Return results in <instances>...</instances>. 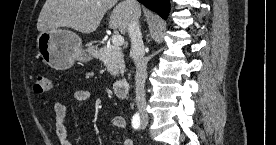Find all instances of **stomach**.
I'll return each instance as SVG.
<instances>
[{
    "label": "stomach",
    "instance_id": "stomach-1",
    "mask_svg": "<svg viewBox=\"0 0 276 145\" xmlns=\"http://www.w3.org/2000/svg\"><path fill=\"white\" fill-rule=\"evenodd\" d=\"M37 47L44 62L59 71L71 68L77 60L87 62L93 58L91 48L84 50L81 38L68 29L40 32Z\"/></svg>",
    "mask_w": 276,
    "mask_h": 145
}]
</instances>
